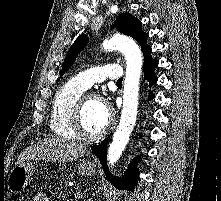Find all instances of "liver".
I'll return each instance as SVG.
<instances>
[{
    "instance_id": "obj_1",
    "label": "liver",
    "mask_w": 221,
    "mask_h": 201,
    "mask_svg": "<svg viewBox=\"0 0 221 201\" xmlns=\"http://www.w3.org/2000/svg\"><path fill=\"white\" fill-rule=\"evenodd\" d=\"M88 154H90L88 149L76 142L61 138H46L29 147L19 158L21 161L42 159L64 163Z\"/></svg>"
}]
</instances>
